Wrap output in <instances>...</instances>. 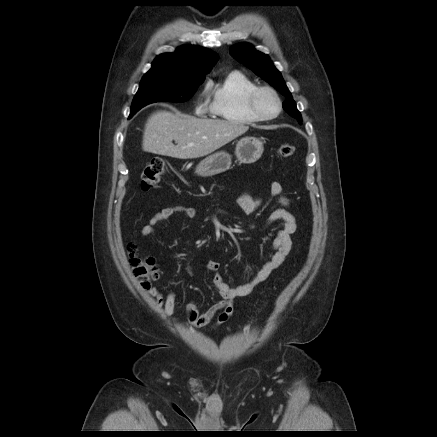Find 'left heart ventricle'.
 <instances>
[{
  "label": "left heart ventricle",
  "instance_id": "obj_1",
  "mask_svg": "<svg viewBox=\"0 0 437 437\" xmlns=\"http://www.w3.org/2000/svg\"><path fill=\"white\" fill-rule=\"evenodd\" d=\"M257 106L260 112L267 116L275 114L278 108L275 98L267 92L258 97Z\"/></svg>",
  "mask_w": 437,
  "mask_h": 437
}]
</instances>
